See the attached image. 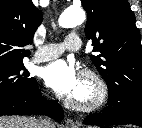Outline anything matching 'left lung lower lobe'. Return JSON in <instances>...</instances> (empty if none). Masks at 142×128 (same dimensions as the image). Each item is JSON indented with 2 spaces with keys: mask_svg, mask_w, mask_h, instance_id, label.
<instances>
[{
  "mask_svg": "<svg viewBox=\"0 0 142 128\" xmlns=\"http://www.w3.org/2000/svg\"><path fill=\"white\" fill-rule=\"evenodd\" d=\"M87 125H127L142 127V99L120 106H108L102 113L90 114L84 121Z\"/></svg>",
  "mask_w": 142,
  "mask_h": 128,
  "instance_id": "left-lung-lower-lobe-1",
  "label": "left lung lower lobe"
}]
</instances>
